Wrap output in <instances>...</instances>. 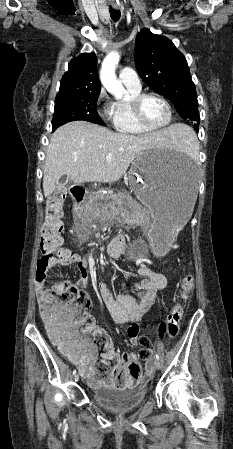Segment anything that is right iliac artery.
Segmentation results:
<instances>
[{
  "label": "right iliac artery",
  "instance_id": "82829eb1",
  "mask_svg": "<svg viewBox=\"0 0 233 449\" xmlns=\"http://www.w3.org/2000/svg\"><path fill=\"white\" fill-rule=\"evenodd\" d=\"M75 374H76V370L73 371V375H75Z\"/></svg>",
  "mask_w": 233,
  "mask_h": 449
}]
</instances>
